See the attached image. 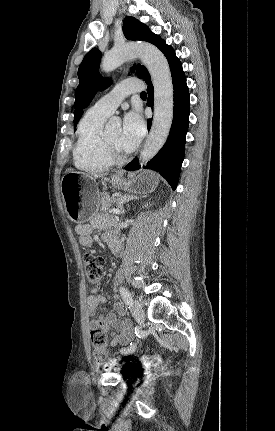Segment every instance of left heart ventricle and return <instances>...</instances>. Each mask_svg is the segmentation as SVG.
Here are the masks:
<instances>
[{
	"instance_id": "1",
	"label": "left heart ventricle",
	"mask_w": 275,
	"mask_h": 431,
	"mask_svg": "<svg viewBox=\"0 0 275 431\" xmlns=\"http://www.w3.org/2000/svg\"><path fill=\"white\" fill-rule=\"evenodd\" d=\"M120 132H121V128L117 126L109 130L108 132H106V137L118 152L125 153V151L119 146Z\"/></svg>"
}]
</instances>
